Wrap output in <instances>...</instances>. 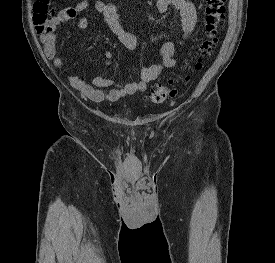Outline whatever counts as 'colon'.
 <instances>
[{"label":"colon","mask_w":275,"mask_h":263,"mask_svg":"<svg viewBox=\"0 0 275 263\" xmlns=\"http://www.w3.org/2000/svg\"><path fill=\"white\" fill-rule=\"evenodd\" d=\"M225 11V0H205V38L192 70L180 78L181 82L188 83L192 74L202 69L204 59L212 54L225 22ZM53 13L50 0H36L33 6V22L38 34H44L48 30ZM175 83L174 79H169L166 83L156 84L149 92L148 99L155 104L166 102L176 94Z\"/></svg>","instance_id":"colon-1"}]
</instances>
